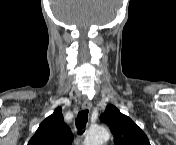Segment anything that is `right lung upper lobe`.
I'll list each match as a JSON object with an SVG mask.
<instances>
[{
    "label": "right lung upper lobe",
    "mask_w": 176,
    "mask_h": 145,
    "mask_svg": "<svg viewBox=\"0 0 176 145\" xmlns=\"http://www.w3.org/2000/svg\"><path fill=\"white\" fill-rule=\"evenodd\" d=\"M72 140V132L64 123L61 107H58L39 125L28 145H71Z\"/></svg>",
    "instance_id": "obj_1"
}]
</instances>
